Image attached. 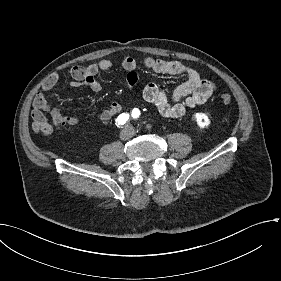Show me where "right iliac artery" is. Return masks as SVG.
<instances>
[{
	"instance_id": "obj_1",
	"label": "right iliac artery",
	"mask_w": 281,
	"mask_h": 281,
	"mask_svg": "<svg viewBox=\"0 0 281 281\" xmlns=\"http://www.w3.org/2000/svg\"><path fill=\"white\" fill-rule=\"evenodd\" d=\"M130 116L128 113H122L116 118V125L122 127L128 120Z\"/></svg>"
}]
</instances>
